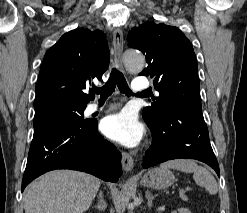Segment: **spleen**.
<instances>
[{
  "mask_svg": "<svg viewBox=\"0 0 247 213\" xmlns=\"http://www.w3.org/2000/svg\"><path fill=\"white\" fill-rule=\"evenodd\" d=\"M163 169H175L185 173H193L195 182L204 187L209 194L218 192V185L212 174L204 167L198 166L196 162L186 159L167 161L160 166Z\"/></svg>",
  "mask_w": 247,
  "mask_h": 213,
  "instance_id": "1",
  "label": "spleen"
}]
</instances>
